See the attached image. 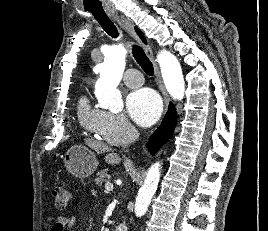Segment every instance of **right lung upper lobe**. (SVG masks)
Here are the masks:
<instances>
[{
  "instance_id": "1",
  "label": "right lung upper lobe",
  "mask_w": 268,
  "mask_h": 231,
  "mask_svg": "<svg viewBox=\"0 0 268 231\" xmlns=\"http://www.w3.org/2000/svg\"><path fill=\"white\" fill-rule=\"evenodd\" d=\"M135 30H136L137 34L140 36V38L146 43V40H145L142 32L139 29H137V28H135Z\"/></svg>"
}]
</instances>
